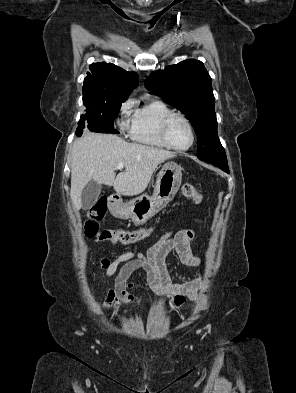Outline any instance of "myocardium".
<instances>
[{
    "instance_id": "f54148a6",
    "label": "myocardium",
    "mask_w": 296,
    "mask_h": 393,
    "mask_svg": "<svg viewBox=\"0 0 296 393\" xmlns=\"http://www.w3.org/2000/svg\"><path fill=\"white\" fill-rule=\"evenodd\" d=\"M175 118H180V119L184 120L185 123L188 125L190 132H191V142L188 146L183 147V148L173 145L168 138L169 125H170L171 121ZM160 137H161L163 143L168 148L175 150V151L183 152V151H187V150L191 149L194 146L195 141H196V132H195V129H194V126H193L191 120L186 115H184L182 113H178V112H171L163 119V121L161 123Z\"/></svg>"
}]
</instances>
